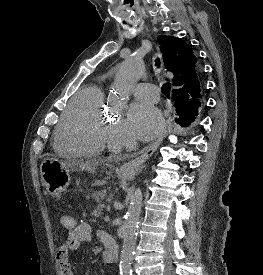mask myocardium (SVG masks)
<instances>
[{
  "instance_id": "myocardium-1",
  "label": "myocardium",
  "mask_w": 263,
  "mask_h": 275,
  "mask_svg": "<svg viewBox=\"0 0 263 275\" xmlns=\"http://www.w3.org/2000/svg\"><path fill=\"white\" fill-rule=\"evenodd\" d=\"M104 128H105L106 130H108V127H107V125H106L105 122H104Z\"/></svg>"
}]
</instances>
